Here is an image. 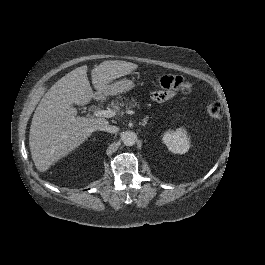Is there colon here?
I'll list each match as a JSON object with an SVG mask.
<instances>
[{
  "mask_svg": "<svg viewBox=\"0 0 265 265\" xmlns=\"http://www.w3.org/2000/svg\"><path fill=\"white\" fill-rule=\"evenodd\" d=\"M157 84L165 90L189 93L190 83L180 76L164 74L157 78ZM208 114L212 119H220L223 115V106L219 102L211 103L208 107Z\"/></svg>",
  "mask_w": 265,
  "mask_h": 265,
  "instance_id": "colon-1",
  "label": "colon"
}]
</instances>
